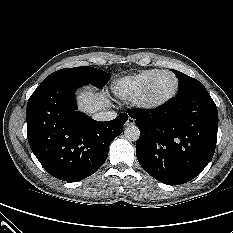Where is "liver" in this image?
Masks as SVG:
<instances>
[{
    "label": "liver",
    "mask_w": 233,
    "mask_h": 233,
    "mask_svg": "<svg viewBox=\"0 0 233 233\" xmlns=\"http://www.w3.org/2000/svg\"><path fill=\"white\" fill-rule=\"evenodd\" d=\"M78 103L82 112L95 114L98 111L104 110L108 106L109 100L105 92H101L99 96L89 90H85L78 95Z\"/></svg>",
    "instance_id": "6515ba94"
}]
</instances>
